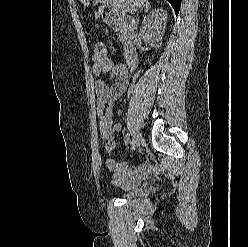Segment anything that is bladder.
Wrapping results in <instances>:
<instances>
[{
	"label": "bladder",
	"mask_w": 248,
	"mask_h": 247,
	"mask_svg": "<svg viewBox=\"0 0 248 247\" xmlns=\"http://www.w3.org/2000/svg\"><path fill=\"white\" fill-rule=\"evenodd\" d=\"M150 191V185L149 184H140L134 189L124 191L122 193V197L125 199H130V198H135V197H140L143 195L148 194Z\"/></svg>",
	"instance_id": "31cf9c89"
}]
</instances>
